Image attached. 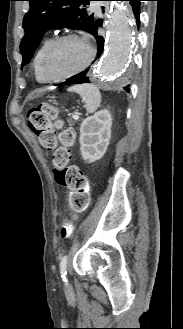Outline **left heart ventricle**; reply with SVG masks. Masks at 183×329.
Masks as SVG:
<instances>
[{
    "label": "left heart ventricle",
    "mask_w": 183,
    "mask_h": 329,
    "mask_svg": "<svg viewBox=\"0 0 183 329\" xmlns=\"http://www.w3.org/2000/svg\"><path fill=\"white\" fill-rule=\"evenodd\" d=\"M87 45L78 39L58 44L50 53L47 67L53 76H60L80 68L87 60Z\"/></svg>",
    "instance_id": "1"
}]
</instances>
